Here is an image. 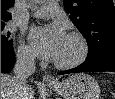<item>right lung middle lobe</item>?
Returning <instances> with one entry per match:
<instances>
[{
    "instance_id": "obj_1",
    "label": "right lung middle lobe",
    "mask_w": 115,
    "mask_h": 99,
    "mask_svg": "<svg viewBox=\"0 0 115 99\" xmlns=\"http://www.w3.org/2000/svg\"><path fill=\"white\" fill-rule=\"evenodd\" d=\"M1 50H13V41L10 39V33L5 30V23H1Z\"/></svg>"
}]
</instances>
